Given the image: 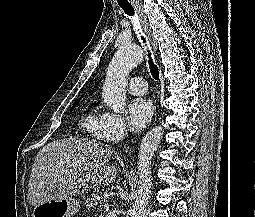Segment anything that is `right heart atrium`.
Wrapping results in <instances>:
<instances>
[{
    "label": "right heart atrium",
    "mask_w": 255,
    "mask_h": 217,
    "mask_svg": "<svg viewBox=\"0 0 255 217\" xmlns=\"http://www.w3.org/2000/svg\"><path fill=\"white\" fill-rule=\"evenodd\" d=\"M98 129L102 138L115 140L125 134L126 125L119 114L103 111L100 113Z\"/></svg>",
    "instance_id": "d8ad5b80"
}]
</instances>
